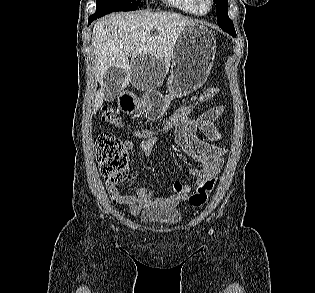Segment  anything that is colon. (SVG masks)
<instances>
[{
    "instance_id": "colon-1",
    "label": "colon",
    "mask_w": 315,
    "mask_h": 293,
    "mask_svg": "<svg viewBox=\"0 0 315 293\" xmlns=\"http://www.w3.org/2000/svg\"><path fill=\"white\" fill-rule=\"evenodd\" d=\"M221 87H211L206 89L199 97L197 103L213 98L216 94H221ZM191 107H183L174 113L162 128L163 131L170 130L182 117L189 114ZM101 118L104 122L119 125L120 119L114 109L104 106L101 110ZM140 136L147 137L149 132H142ZM97 160L101 174L106 183L119 185L126 181L129 173L131 155L126 147V143L112 134H102L96 142ZM216 184V178L211 177L196 187L195 192L188 201L192 207H202Z\"/></svg>"
}]
</instances>
